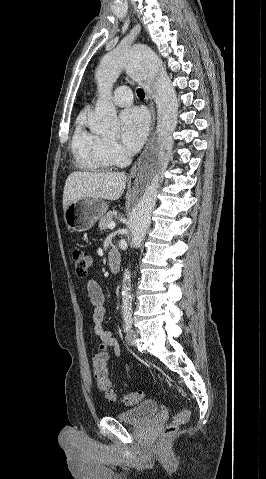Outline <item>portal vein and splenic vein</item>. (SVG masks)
<instances>
[{
	"label": "portal vein and splenic vein",
	"mask_w": 266,
	"mask_h": 479,
	"mask_svg": "<svg viewBox=\"0 0 266 479\" xmlns=\"http://www.w3.org/2000/svg\"><path fill=\"white\" fill-rule=\"evenodd\" d=\"M107 227L109 229H113L115 227V223L113 221H111V222L108 223Z\"/></svg>",
	"instance_id": "18ae733b"
}]
</instances>
